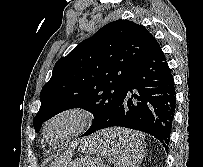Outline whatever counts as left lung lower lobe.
Instances as JSON below:
<instances>
[{"instance_id": "0a47b994", "label": "left lung lower lobe", "mask_w": 203, "mask_h": 167, "mask_svg": "<svg viewBox=\"0 0 203 167\" xmlns=\"http://www.w3.org/2000/svg\"><path fill=\"white\" fill-rule=\"evenodd\" d=\"M175 107L174 78L160 45L156 43L131 71L113 114L97 130L115 126L139 130L154 136L168 151ZM122 143L111 139L98 144L119 149Z\"/></svg>"}]
</instances>
